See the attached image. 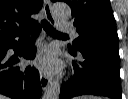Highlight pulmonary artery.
I'll use <instances>...</instances> for the list:
<instances>
[{
  "label": "pulmonary artery",
  "instance_id": "e3ab8cb5",
  "mask_svg": "<svg viewBox=\"0 0 128 99\" xmlns=\"http://www.w3.org/2000/svg\"><path fill=\"white\" fill-rule=\"evenodd\" d=\"M57 27L60 31L70 32L74 36H77L75 29L73 28V26L70 23L60 22L57 24Z\"/></svg>",
  "mask_w": 128,
  "mask_h": 99
}]
</instances>
